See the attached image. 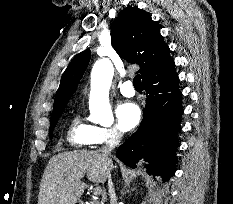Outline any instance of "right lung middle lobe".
<instances>
[{
    "label": "right lung middle lobe",
    "instance_id": "dd1d6c3e",
    "mask_svg": "<svg viewBox=\"0 0 233 204\" xmlns=\"http://www.w3.org/2000/svg\"><path fill=\"white\" fill-rule=\"evenodd\" d=\"M60 116H61V115H58V116H56V117H54V118L51 119L50 131H49V137H50V138L52 137L53 129H54V127L56 126L57 121H58V119H59Z\"/></svg>",
    "mask_w": 233,
    "mask_h": 204
}]
</instances>
